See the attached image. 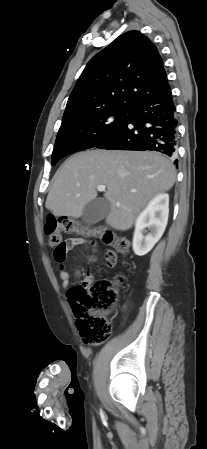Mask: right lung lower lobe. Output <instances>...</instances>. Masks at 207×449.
Wrapping results in <instances>:
<instances>
[{
	"label": "right lung lower lobe",
	"mask_w": 207,
	"mask_h": 449,
	"mask_svg": "<svg viewBox=\"0 0 207 449\" xmlns=\"http://www.w3.org/2000/svg\"><path fill=\"white\" fill-rule=\"evenodd\" d=\"M176 107L171 91L132 108L124 126L95 147L109 150L158 151L176 156ZM177 163V159L174 161Z\"/></svg>",
	"instance_id": "obj_1"
}]
</instances>
